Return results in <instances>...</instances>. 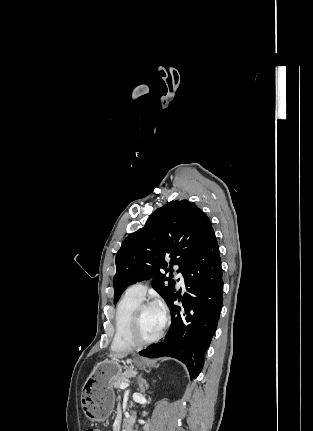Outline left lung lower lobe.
<instances>
[{"mask_svg": "<svg viewBox=\"0 0 313 431\" xmlns=\"http://www.w3.org/2000/svg\"><path fill=\"white\" fill-rule=\"evenodd\" d=\"M187 293L174 294L167 303L171 312V331L164 343L151 345L141 356H169L186 364L195 379L204 365V354L216 331L223 305V274L219 247L211 228L195 257L183 271ZM178 298L183 309L173 304Z\"/></svg>", "mask_w": 313, "mask_h": 431, "instance_id": "left-lung-lower-lobe-1", "label": "left lung lower lobe"}]
</instances>
